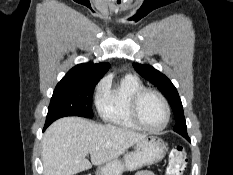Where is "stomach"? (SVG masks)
<instances>
[{
  "instance_id": "obj_1",
  "label": "stomach",
  "mask_w": 233,
  "mask_h": 175,
  "mask_svg": "<svg viewBox=\"0 0 233 175\" xmlns=\"http://www.w3.org/2000/svg\"><path fill=\"white\" fill-rule=\"evenodd\" d=\"M166 152V144L161 138L147 136L137 142L134 151L127 152L122 160H111L99 166L96 175H122L124 171H135L143 166L160 162Z\"/></svg>"
}]
</instances>
